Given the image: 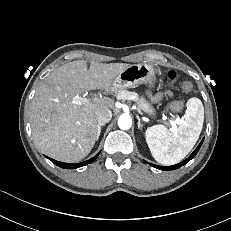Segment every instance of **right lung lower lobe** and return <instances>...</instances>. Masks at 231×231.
Here are the masks:
<instances>
[{"label": "right lung lower lobe", "mask_w": 231, "mask_h": 231, "mask_svg": "<svg viewBox=\"0 0 231 231\" xmlns=\"http://www.w3.org/2000/svg\"><path fill=\"white\" fill-rule=\"evenodd\" d=\"M99 155V153L94 156L93 158L85 161V162H82V163H79V164H70V163H63V162H59V161H56L54 159H51L49 158L54 164H56L57 166L61 167V168H65V169H75V168H78V167H82L84 165H87L89 163H91L93 160H95L97 158V156Z\"/></svg>", "instance_id": "right-lung-lower-lobe-1"}]
</instances>
